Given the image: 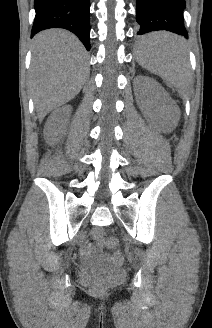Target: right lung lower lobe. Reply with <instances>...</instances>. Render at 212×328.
Instances as JSON below:
<instances>
[{"label":"right lung lower lobe","instance_id":"obj_1","mask_svg":"<svg viewBox=\"0 0 212 328\" xmlns=\"http://www.w3.org/2000/svg\"><path fill=\"white\" fill-rule=\"evenodd\" d=\"M35 20L31 36L48 28L73 32L90 50L89 0H35Z\"/></svg>","mask_w":212,"mask_h":328}]
</instances>
